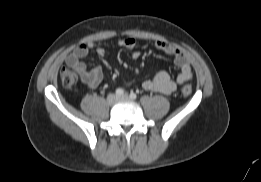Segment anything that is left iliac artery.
Returning a JSON list of instances; mask_svg holds the SVG:
<instances>
[{
  "label": "left iliac artery",
  "instance_id": "left-iliac-artery-1",
  "mask_svg": "<svg viewBox=\"0 0 261 182\" xmlns=\"http://www.w3.org/2000/svg\"><path fill=\"white\" fill-rule=\"evenodd\" d=\"M129 96H130L131 99H136L137 98V95L134 92H131Z\"/></svg>",
  "mask_w": 261,
  "mask_h": 182
}]
</instances>
